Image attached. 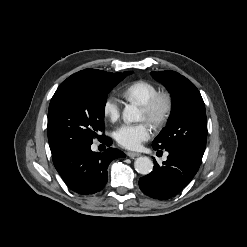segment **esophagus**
<instances>
[{
	"instance_id": "esophagus-1",
	"label": "esophagus",
	"mask_w": 247,
	"mask_h": 247,
	"mask_svg": "<svg viewBox=\"0 0 247 247\" xmlns=\"http://www.w3.org/2000/svg\"><path fill=\"white\" fill-rule=\"evenodd\" d=\"M141 154L138 152H127V156L130 158H136L138 156H140Z\"/></svg>"
}]
</instances>
